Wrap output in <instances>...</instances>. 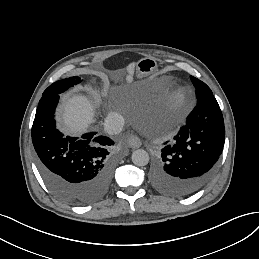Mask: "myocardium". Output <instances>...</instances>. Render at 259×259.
Returning <instances> with one entry per match:
<instances>
[{
	"label": "myocardium",
	"instance_id": "f54148a6",
	"mask_svg": "<svg viewBox=\"0 0 259 259\" xmlns=\"http://www.w3.org/2000/svg\"><path fill=\"white\" fill-rule=\"evenodd\" d=\"M172 81H176V78L173 75L170 76V77H166V78L156 77V78H151V79H143V82H144L145 86H151V85L156 84V83H167V82H172ZM188 89H189V92H190V95H191V99H190V102L188 104V107L182 112L181 118L185 117L188 114V112L195 105V92H194V89L189 87V86H188Z\"/></svg>",
	"mask_w": 259,
	"mask_h": 259
}]
</instances>
